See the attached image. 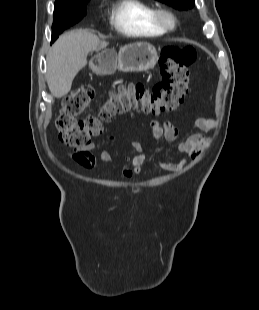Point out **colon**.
<instances>
[{
  "mask_svg": "<svg viewBox=\"0 0 259 310\" xmlns=\"http://www.w3.org/2000/svg\"><path fill=\"white\" fill-rule=\"evenodd\" d=\"M196 58L193 47L165 46L159 58L161 81L151 89L141 82L119 85L95 116L81 118L95 97V88L78 87L66 98L58 116L60 140L71 147H85L102 132L103 123L116 115L133 111L159 115L176 109L188 94L190 70Z\"/></svg>",
  "mask_w": 259,
  "mask_h": 310,
  "instance_id": "colon-1",
  "label": "colon"
}]
</instances>
